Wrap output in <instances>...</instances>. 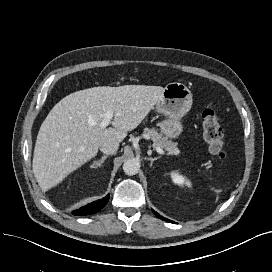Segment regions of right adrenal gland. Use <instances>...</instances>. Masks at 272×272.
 <instances>
[{
  "mask_svg": "<svg viewBox=\"0 0 272 272\" xmlns=\"http://www.w3.org/2000/svg\"><path fill=\"white\" fill-rule=\"evenodd\" d=\"M108 158L107 155H104L101 157V159L97 160V161H94L93 165L91 166V168H97V167H100L104 161Z\"/></svg>",
  "mask_w": 272,
  "mask_h": 272,
  "instance_id": "obj_1",
  "label": "right adrenal gland"
}]
</instances>
